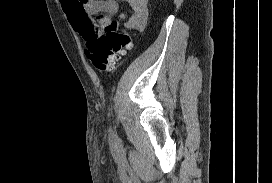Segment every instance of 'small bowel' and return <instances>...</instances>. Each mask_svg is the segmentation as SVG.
Segmentation results:
<instances>
[{"instance_id": "small-bowel-1", "label": "small bowel", "mask_w": 272, "mask_h": 183, "mask_svg": "<svg viewBox=\"0 0 272 183\" xmlns=\"http://www.w3.org/2000/svg\"><path fill=\"white\" fill-rule=\"evenodd\" d=\"M126 2L131 11V17L125 13L119 15L120 20L130 28L142 29L148 18V0H121ZM62 7L73 28L86 42L99 36L108 34V30H121L120 25H112L113 16L118 12L115 0H61Z\"/></svg>"}]
</instances>
